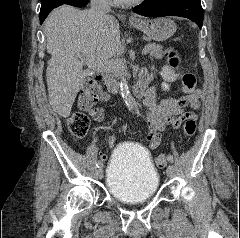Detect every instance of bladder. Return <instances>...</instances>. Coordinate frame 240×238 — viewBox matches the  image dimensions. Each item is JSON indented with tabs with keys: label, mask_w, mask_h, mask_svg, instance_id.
Returning a JSON list of instances; mask_svg holds the SVG:
<instances>
[{
	"label": "bladder",
	"mask_w": 240,
	"mask_h": 238,
	"mask_svg": "<svg viewBox=\"0 0 240 238\" xmlns=\"http://www.w3.org/2000/svg\"><path fill=\"white\" fill-rule=\"evenodd\" d=\"M159 181V173L146 149L124 144L114 150L106 177L113 198L128 204L148 201L157 193Z\"/></svg>",
	"instance_id": "bladder-1"
}]
</instances>
